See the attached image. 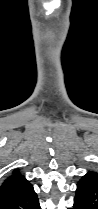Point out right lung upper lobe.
<instances>
[{
    "label": "right lung upper lobe",
    "instance_id": "1",
    "mask_svg": "<svg viewBox=\"0 0 98 209\" xmlns=\"http://www.w3.org/2000/svg\"><path fill=\"white\" fill-rule=\"evenodd\" d=\"M30 186L25 176L15 169L0 185V208L10 203Z\"/></svg>",
    "mask_w": 98,
    "mask_h": 209
}]
</instances>
